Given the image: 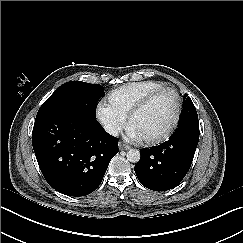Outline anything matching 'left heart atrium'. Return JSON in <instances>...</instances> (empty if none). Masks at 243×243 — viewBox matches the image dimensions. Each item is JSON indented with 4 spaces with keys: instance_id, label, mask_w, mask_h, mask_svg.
I'll use <instances>...</instances> for the list:
<instances>
[{
    "instance_id": "1",
    "label": "left heart atrium",
    "mask_w": 243,
    "mask_h": 243,
    "mask_svg": "<svg viewBox=\"0 0 243 243\" xmlns=\"http://www.w3.org/2000/svg\"><path fill=\"white\" fill-rule=\"evenodd\" d=\"M127 135L129 140L139 142L144 139V135L141 131H139L135 126L129 127L127 129Z\"/></svg>"
}]
</instances>
